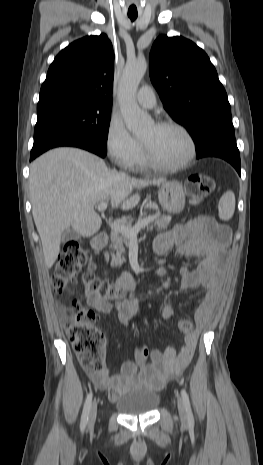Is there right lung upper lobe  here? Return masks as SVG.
<instances>
[{
  "instance_id": "cb5924a9",
  "label": "right lung upper lobe",
  "mask_w": 263,
  "mask_h": 465,
  "mask_svg": "<svg viewBox=\"0 0 263 465\" xmlns=\"http://www.w3.org/2000/svg\"><path fill=\"white\" fill-rule=\"evenodd\" d=\"M113 47L105 34L87 36L63 49L49 67L39 102L71 97L112 105Z\"/></svg>"
}]
</instances>
